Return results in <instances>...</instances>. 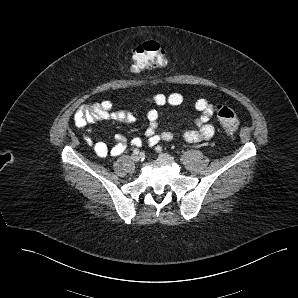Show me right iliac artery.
I'll return each mask as SVG.
<instances>
[{
  "label": "right iliac artery",
  "instance_id": "82829eb1",
  "mask_svg": "<svg viewBox=\"0 0 298 298\" xmlns=\"http://www.w3.org/2000/svg\"><path fill=\"white\" fill-rule=\"evenodd\" d=\"M139 153V149H134V154H138Z\"/></svg>",
  "mask_w": 298,
  "mask_h": 298
}]
</instances>
